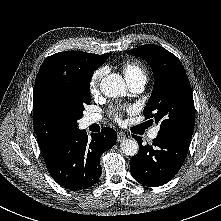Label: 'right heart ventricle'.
<instances>
[{
    "label": "right heart ventricle",
    "mask_w": 221,
    "mask_h": 221,
    "mask_svg": "<svg viewBox=\"0 0 221 221\" xmlns=\"http://www.w3.org/2000/svg\"><path fill=\"white\" fill-rule=\"evenodd\" d=\"M121 69L126 81H147L148 71L146 66L138 59L132 58L121 64Z\"/></svg>",
    "instance_id": "right-heart-ventricle-1"
}]
</instances>
